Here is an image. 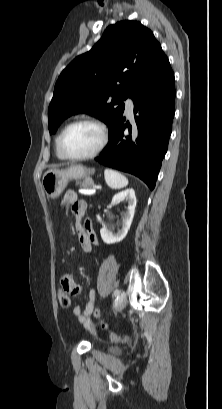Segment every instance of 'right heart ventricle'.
<instances>
[{"mask_svg":"<svg viewBox=\"0 0 222 409\" xmlns=\"http://www.w3.org/2000/svg\"><path fill=\"white\" fill-rule=\"evenodd\" d=\"M64 128L61 129L60 133L58 134L57 138H56V156L58 157V159L64 160L65 158L61 155L60 151H59V137L61 132L63 131Z\"/></svg>","mask_w":222,"mask_h":409,"instance_id":"e07e8e85","label":"right heart ventricle"}]
</instances>
